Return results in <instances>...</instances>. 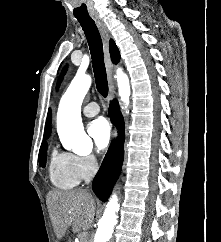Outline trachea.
Listing matches in <instances>:
<instances>
[{"instance_id": "3493384b", "label": "trachea", "mask_w": 221, "mask_h": 242, "mask_svg": "<svg viewBox=\"0 0 221 242\" xmlns=\"http://www.w3.org/2000/svg\"><path fill=\"white\" fill-rule=\"evenodd\" d=\"M77 20L81 24L89 44L96 88L103 97H106L108 95V82L106 68L104 64L103 45L100 33L93 19L77 18Z\"/></svg>"}]
</instances>
